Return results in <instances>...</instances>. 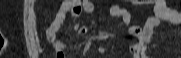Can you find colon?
Segmentation results:
<instances>
[{"label": "colon", "instance_id": "1", "mask_svg": "<svg viewBox=\"0 0 181 58\" xmlns=\"http://www.w3.org/2000/svg\"><path fill=\"white\" fill-rule=\"evenodd\" d=\"M63 57H64V53L57 54V58H63Z\"/></svg>", "mask_w": 181, "mask_h": 58}]
</instances>
